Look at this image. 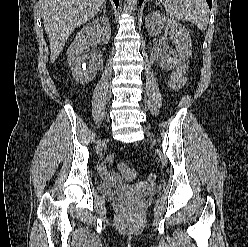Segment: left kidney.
Instances as JSON below:
<instances>
[{
    "label": "left kidney",
    "mask_w": 248,
    "mask_h": 247,
    "mask_svg": "<svg viewBox=\"0 0 248 247\" xmlns=\"http://www.w3.org/2000/svg\"><path fill=\"white\" fill-rule=\"evenodd\" d=\"M146 28L151 36H156L163 29H169L172 43L176 49L168 48L157 51V61L163 69L172 70L192 54V40L187 29L173 19L162 15L159 11L151 12L145 19Z\"/></svg>",
    "instance_id": "5707ae66"
}]
</instances>
